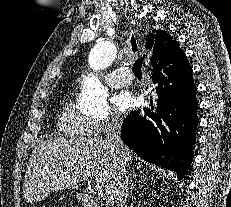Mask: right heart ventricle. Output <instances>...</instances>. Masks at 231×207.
<instances>
[{"instance_id": "obj_1", "label": "right heart ventricle", "mask_w": 231, "mask_h": 207, "mask_svg": "<svg viewBox=\"0 0 231 207\" xmlns=\"http://www.w3.org/2000/svg\"><path fill=\"white\" fill-rule=\"evenodd\" d=\"M58 131L73 139H83L93 135L92 120L79 111L72 97L68 98L61 107Z\"/></svg>"}]
</instances>
